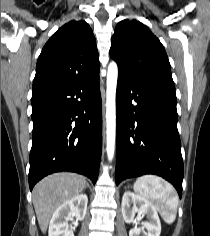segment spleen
Listing matches in <instances>:
<instances>
[{"label":"spleen","mask_w":210,"mask_h":236,"mask_svg":"<svg viewBox=\"0 0 210 236\" xmlns=\"http://www.w3.org/2000/svg\"><path fill=\"white\" fill-rule=\"evenodd\" d=\"M133 189L140 197L154 204L166 223L174 222L178 196L171 184L158 176L144 175L135 181Z\"/></svg>","instance_id":"spleen-1"}]
</instances>
